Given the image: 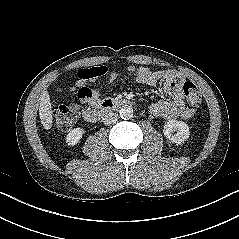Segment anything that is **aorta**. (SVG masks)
<instances>
[{
  "label": "aorta",
  "mask_w": 239,
  "mask_h": 239,
  "mask_svg": "<svg viewBox=\"0 0 239 239\" xmlns=\"http://www.w3.org/2000/svg\"><path fill=\"white\" fill-rule=\"evenodd\" d=\"M119 115L122 119H130L133 117V108L130 105H124L119 110Z\"/></svg>",
  "instance_id": "aorta-1"
}]
</instances>
